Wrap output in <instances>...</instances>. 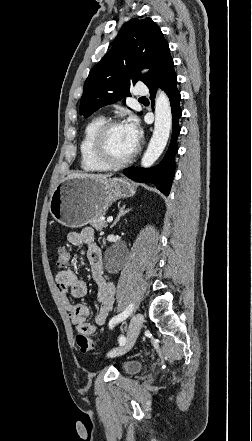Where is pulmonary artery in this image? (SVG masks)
<instances>
[{
  "mask_svg": "<svg viewBox=\"0 0 252 441\" xmlns=\"http://www.w3.org/2000/svg\"><path fill=\"white\" fill-rule=\"evenodd\" d=\"M149 93V89L146 86L138 85L135 90V95L137 96H146Z\"/></svg>",
  "mask_w": 252,
  "mask_h": 441,
  "instance_id": "obj_1",
  "label": "pulmonary artery"
}]
</instances>
